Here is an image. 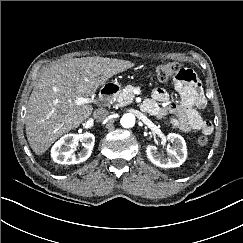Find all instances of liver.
<instances>
[{"label":"liver","instance_id":"liver-1","mask_svg":"<svg viewBox=\"0 0 243 243\" xmlns=\"http://www.w3.org/2000/svg\"><path fill=\"white\" fill-rule=\"evenodd\" d=\"M130 61L99 56L71 58L48 67L36 83L27 106L26 135L37 154L45 153L63 134L77 128L92 113L90 104L75 100L91 96Z\"/></svg>","mask_w":243,"mask_h":243}]
</instances>
